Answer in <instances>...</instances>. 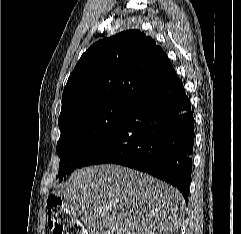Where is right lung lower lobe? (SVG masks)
Wrapping results in <instances>:
<instances>
[{
  "label": "right lung lower lobe",
  "instance_id": "right-lung-lower-lobe-1",
  "mask_svg": "<svg viewBox=\"0 0 241 234\" xmlns=\"http://www.w3.org/2000/svg\"><path fill=\"white\" fill-rule=\"evenodd\" d=\"M193 144L191 103L173 70L131 105L79 168L101 163L128 166L175 186L187 203Z\"/></svg>",
  "mask_w": 241,
  "mask_h": 234
}]
</instances>
